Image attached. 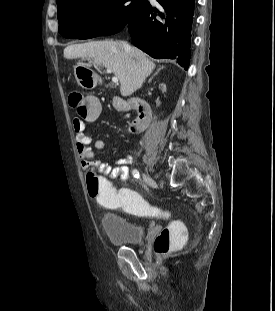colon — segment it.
<instances>
[{
    "label": "colon",
    "mask_w": 275,
    "mask_h": 311,
    "mask_svg": "<svg viewBox=\"0 0 275 311\" xmlns=\"http://www.w3.org/2000/svg\"><path fill=\"white\" fill-rule=\"evenodd\" d=\"M71 106L79 112L80 121H95L102 112L101 102L98 97H83L79 93H72L69 97ZM88 192L95 202H102L112 207H121L123 210L133 214H153L169 217L170 212L158 209L138 194V190H117L111 178L105 175H96L89 172ZM184 242V226L179 221H171L156 235L154 240V251L163 256L181 246Z\"/></svg>",
    "instance_id": "1"
}]
</instances>
